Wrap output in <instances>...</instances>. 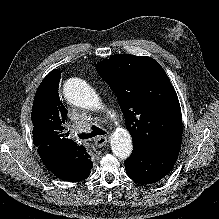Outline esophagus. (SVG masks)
<instances>
[{"mask_svg":"<svg viewBox=\"0 0 219 219\" xmlns=\"http://www.w3.org/2000/svg\"><path fill=\"white\" fill-rule=\"evenodd\" d=\"M108 142H109L108 136H99L94 140V144L98 148L105 146Z\"/></svg>","mask_w":219,"mask_h":219,"instance_id":"obj_1","label":"esophagus"}]
</instances>
